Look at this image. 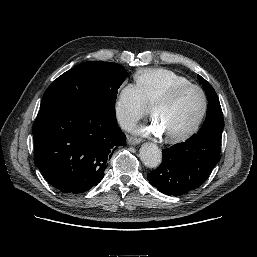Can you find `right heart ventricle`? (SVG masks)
<instances>
[{"mask_svg": "<svg viewBox=\"0 0 257 257\" xmlns=\"http://www.w3.org/2000/svg\"><path fill=\"white\" fill-rule=\"evenodd\" d=\"M134 79L148 105L172 88L191 83L186 77L164 68L138 70Z\"/></svg>", "mask_w": 257, "mask_h": 257, "instance_id": "e07e8e85", "label": "right heart ventricle"}]
</instances>
